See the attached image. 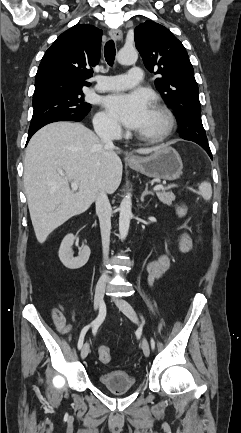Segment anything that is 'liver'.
<instances>
[{
  "mask_svg": "<svg viewBox=\"0 0 241 433\" xmlns=\"http://www.w3.org/2000/svg\"><path fill=\"white\" fill-rule=\"evenodd\" d=\"M160 147L136 152L149 154ZM119 152L80 123L55 122L34 134L26 149L23 181L40 244L71 217L88 210L100 190H117L123 172ZM70 181L79 184L77 192L70 189Z\"/></svg>",
  "mask_w": 241,
  "mask_h": 433,
  "instance_id": "liver-1",
  "label": "liver"
}]
</instances>
